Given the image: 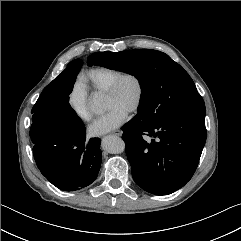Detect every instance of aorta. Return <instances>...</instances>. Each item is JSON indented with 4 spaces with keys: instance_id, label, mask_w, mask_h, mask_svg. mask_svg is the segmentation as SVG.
I'll return each instance as SVG.
<instances>
[{
    "instance_id": "obj_1",
    "label": "aorta",
    "mask_w": 241,
    "mask_h": 241,
    "mask_svg": "<svg viewBox=\"0 0 241 241\" xmlns=\"http://www.w3.org/2000/svg\"><path fill=\"white\" fill-rule=\"evenodd\" d=\"M90 108L93 112L99 114L103 111L104 103L103 99L98 94H93L90 99ZM102 147L109 153L118 154L125 150L124 141L116 136H106L102 140Z\"/></svg>"
}]
</instances>
